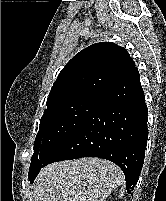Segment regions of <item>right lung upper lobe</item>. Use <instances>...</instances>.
Instances as JSON below:
<instances>
[{
  "label": "right lung upper lobe",
  "mask_w": 166,
  "mask_h": 201,
  "mask_svg": "<svg viewBox=\"0 0 166 201\" xmlns=\"http://www.w3.org/2000/svg\"><path fill=\"white\" fill-rule=\"evenodd\" d=\"M127 50L112 42L93 44L75 55L57 77L47 108L83 95L105 96L133 69Z\"/></svg>",
  "instance_id": "obj_1"
}]
</instances>
